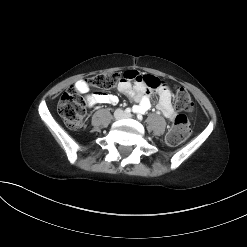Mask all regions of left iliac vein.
Segmentation results:
<instances>
[{
	"label": "left iliac vein",
	"instance_id": "1",
	"mask_svg": "<svg viewBox=\"0 0 247 247\" xmlns=\"http://www.w3.org/2000/svg\"><path fill=\"white\" fill-rule=\"evenodd\" d=\"M125 117H126V118H131L132 115H131V114H126Z\"/></svg>",
	"mask_w": 247,
	"mask_h": 247
}]
</instances>
